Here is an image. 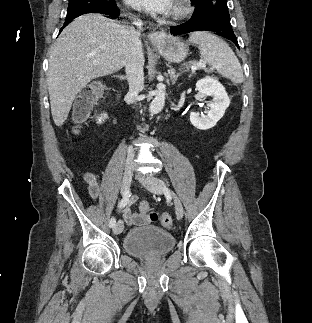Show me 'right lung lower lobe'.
<instances>
[{"label":"right lung lower lobe","mask_w":312,"mask_h":323,"mask_svg":"<svg viewBox=\"0 0 312 323\" xmlns=\"http://www.w3.org/2000/svg\"><path fill=\"white\" fill-rule=\"evenodd\" d=\"M83 12L82 13H75V14H72L70 16H67L66 17V20L64 22V26L61 28L60 31H62V29L67 26L70 22L73 21L74 18L82 15L84 12H89V13H103V14H107L109 16V18H112V19H118L119 18V14H120V11L116 8H95V9H91V10H88V11H85V10H82Z\"/></svg>","instance_id":"1"}]
</instances>
